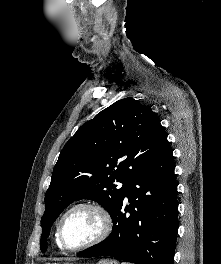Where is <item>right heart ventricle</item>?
Instances as JSON below:
<instances>
[{"label":"right heart ventricle","instance_id":"1","mask_svg":"<svg viewBox=\"0 0 221 264\" xmlns=\"http://www.w3.org/2000/svg\"><path fill=\"white\" fill-rule=\"evenodd\" d=\"M55 243L59 249H62L61 245L59 244L58 238H57V232L55 234Z\"/></svg>","mask_w":221,"mask_h":264}]
</instances>
